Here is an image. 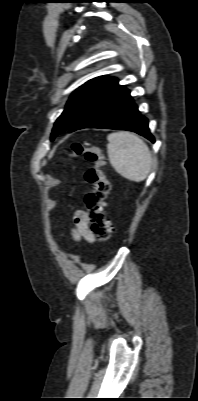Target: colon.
<instances>
[{
	"label": "colon",
	"instance_id": "5ec220e1",
	"mask_svg": "<svg viewBox=\"0 0 198 401\" xmlns=\"http://www.w3.org/2000/svg\"><path fill=\"white\" fill-rule=\"evenodd\" d=\"M71 153L76 157H84L90 164L85 172V180L91 190L85 196V205L93 233L99 241L106 242L111 236V223L105 212L110 183L103 170L100 147L73 143Z\"/></svg>",
	"mask_w": 198,
	"mask_h": 401
}]
</instances>
